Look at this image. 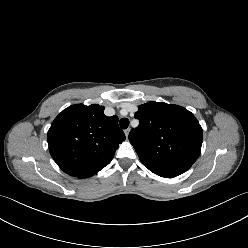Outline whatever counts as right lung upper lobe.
Wrapping results in <instances>:
<instances>
[{"instance_id":"right-lung-upper-lobe-1","label":"right lung upper lobe","mask_w":248,"mask_h":248,"mask_svg":"<svg viewBox=\"0 0 248 248\" xmlns=\"http://www.w3.org/2000/svg\"><path fill=\"white\" fill-rule=\"evenodd\" d=\"M49 151L67 174L90 177L108 165L125 140L118 117H107L97 104H76L63 110L47 135Z\"/></svg>"}]
</instances>
